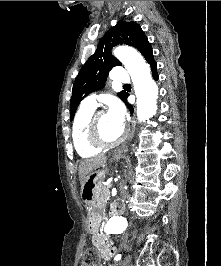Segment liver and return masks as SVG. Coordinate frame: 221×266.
I'll use <instances>...</instances> for the list:
<instances>
[{
  "instance_id": "liver-1",
  "label": "liver",
  "mask_w": 221,
  "mask_h": 266,
  "mask_svg": "<svg viewBox=\"0 0 221 266\" xmlns=\"http://www.w3.org/2000/svg\"><path fill=\"white\" fill-rule=\"evenodd\" d=\"M107 162L106 155H99L90 159H85L79 164V181L82 184L85 177L99 167H105Z\"/></svg>"
}]
</instances>
